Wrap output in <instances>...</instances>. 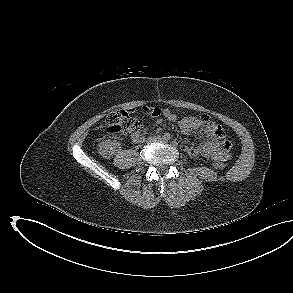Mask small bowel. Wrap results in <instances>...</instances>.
<instances>
[{"label": "small bowel", "mask_w": 293, "mask_h": 293, "mask_svg": "<svg viewBox=\"0 0 293 293\" xmlns=\"http://www.w3.org/2000/svg\"><path fill=\"white\" fill-rule=\"evenodd\" d=\"M140 112L156 118V124L161 123V117L170 122H177L180 130L185 135H190L194 131H200L204 136V142L188 149L191 157L202 156L211 158L215 161H224L230 157V142L226 138L224 130L216 124L208 115L200 117L188 116L179 119L176 114L169 109L143 106L139 108ZM147 130L141 129L132 135L133 143H141L145 140Z\"/></svg>", "instance_id": "obj_1"}]
</instances>
